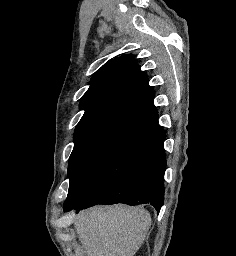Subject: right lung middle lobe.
<instances>
[{"instance_id":"obj_1","label":"right lung middle lobe","mask_w":236,"mask_h":256,"mask_svg":"<svg viewBox=\"0 0 236 256\" xmlns=\"http://www.w3.org/2000/svg\"><path fill=\"white\" fill-rule=\"evenodd\" d=\"M153 126L145 121L119 115L79 123L69 158L67 201L79 192L106 161Z\"/></svg>"}]
</instances>
